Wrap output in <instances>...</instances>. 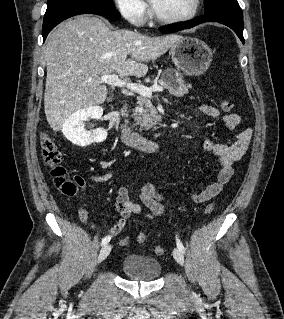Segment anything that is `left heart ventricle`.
Masks as SVG:
<instances>
[{
  "label": "left heart ventricle",
  "instance_id": "b2bd125f",
  "mask_svg": "<svg viewBox=\"0 0 284 319\" xmlns=\"http://www.w3.org/2000/svg\"><path fill=\"white\" fill-rule=\"evenodd\" d=\"M194 0H151L154 9L162 16L179 17L190 12Z\"/></svg>",
  "mask_w": 284,
  "mask_h": 319
}]
</instances>
